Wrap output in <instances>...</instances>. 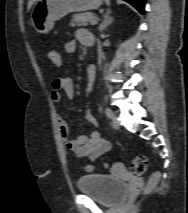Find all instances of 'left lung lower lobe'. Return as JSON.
<instances>
[{"instance_id":"1","label":"left lung lower lobe","mask_w":188,"mask_h":213,"mask_svg":"<svg viewBox=\"0 0 188 213\" xmlns=\"http://www.w3.org/2000/svg\"><path fill=\"white\" fill-rule=\"evenodd\" d=\"M133 5L140 13H144L145 0H125Z\"/></svg>"}]
</instances>
